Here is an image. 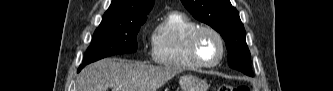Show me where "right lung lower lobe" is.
Segmentation results:
<instances>
[{
	"label": "right lung lower lobe",
	"mask_w": 333,
	"mask_h": 91,
	"mask_svg": "<svg viewBox=\"0 0 333 91\" xmlns=\"http://www.w3.org/2000/svg\"><path fill=\"white\" fill-rule=\"evenodd\" d=\"M85 65H87V64H82L80 67H79V69H78V72L85 66Z\"/></svg>",
	"instance_id": "1"
}]
</instances>
